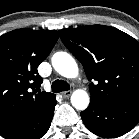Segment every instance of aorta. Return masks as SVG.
<instances>
[{
  "instance_id": "1",
  "label": "aorta",
  "mask_w": 139,
  "mask_h": 139,
  "mask_svg": "<svg viewBox=\"0 0 139 139\" xmlns=\"http://www.w3.org/2000/svg\"><path fill=\"white\" fill-rule=\"evenodd\" d=\"M53 68L65 78H75L78 66L74 58L67 52H57L52 57ZM90 102L89 95L82 89L75 90L71 95V104L77 110H85Z\"/></svg>"
}]
</instances>
